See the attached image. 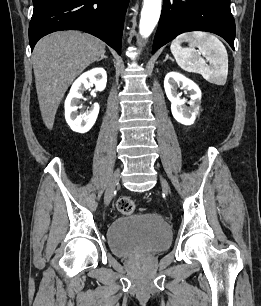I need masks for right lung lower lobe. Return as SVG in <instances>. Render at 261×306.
Returning <instances> with one entry per match:
<instances>
[{
	"mask_svg": "<svg viewBox=\"0 0 261 306\" xmlns=\"http://www.w3.org/2000/svg\"><path fill=\"white\" fill-rule=\"evenodd\" d=\"M129 0H33L29 42L60 30L90 33L121 54L124 15Z\"/></svg>",
	"mask_w": 261,
	"mask_h": 306,
	"instance_id": "right-lung-lower-lobe-1",
	"label": "right lung lower lobe"
}]
</instances>
